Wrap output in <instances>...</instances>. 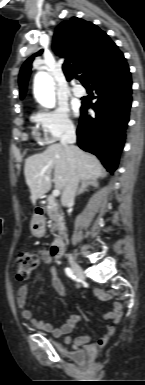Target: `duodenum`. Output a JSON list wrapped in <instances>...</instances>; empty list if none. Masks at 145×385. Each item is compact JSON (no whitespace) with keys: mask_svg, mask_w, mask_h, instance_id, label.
Segmentation results:
<instances>
[{"mask_svg":"<svg viewBox=\"0 0 145 385\" xmlns=\"http://www.w3.org/2000/svg\"><path fill=\"white\" fill-rule=\"evenodd\" d=\"M36 213L40 217H38L36 220H34V224L36 226H39L41 224V220H42L41 216L44 214V210L42 208H39V209H37ZM63 249H64V241L62 238H59L52 243L50 252H51L52 256H54L55 258H58L63 254Z\"/></svg>","mask_w":145,"mask_h":385,"instance_id":"410a0bca","label":"duodenum"}]
</instances>
